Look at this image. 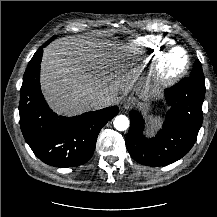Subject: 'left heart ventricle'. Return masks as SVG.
I'll return each mask as SVG.
<instances>
[{"instance_id": "obj_1", "label": "left heart ventricle", "mask_w": 217, "mask_h": 217, "mask_svg": "<svg viewBox=\"0 0 217 217\" xmlns=\"http://www.w3.org/2000/svg\"><path fill=\"white\" fill-rule=\"evenodd\" d=\"M185 63V55L182 51H175L166 62V71L173 72L181 68Z\"/></svg>"}]
</instances>
